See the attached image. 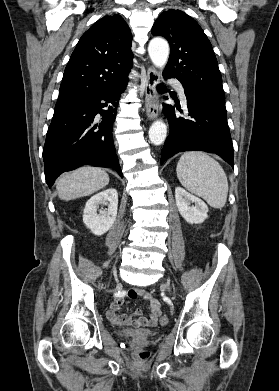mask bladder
I'll return each mask as SVG.
<instances>
[{"label":"bladder","mask_w":279,"mask_h":391,"mask_svg":"<svg viewBox=\"0 0 279 391\" xmlns=\"http://www.w3.org/2000/svg\"><path fill=\"white\" fill-rule=\"evenodd\" d=\"M156 335L154 331L148 330H124L120 332V336L132 342H146Z\"/></svg>","instance_id":"1"}]
</instances>
